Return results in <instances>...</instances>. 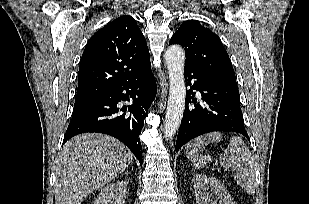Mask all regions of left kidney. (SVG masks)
<instances>
[{
	"mask_svg": "<svg viewBox=\"0 0 309 204\" xmlns=\"http://www.w3.org/2000/svg\"><path fill=\"white\" fill-rule=\"evenodd\" d=\"M195 198L197 204H235L225 186L215 177H209L205 174H195L193 177ZM211 189V194L207 189ZM215 200H211V196Z\"/></svg>",
	"mask_w": 309,
	"mask_h": 204,
	"instance_id": "obj_1",
	"label": "left kidney"
}]
</instances>
